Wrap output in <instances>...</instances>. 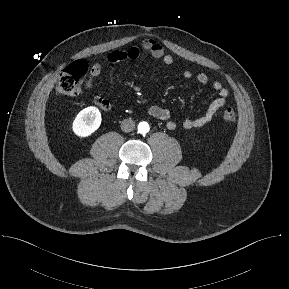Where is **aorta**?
Wrapping results in <instances>:
<instances>
[{
    "label": "aorta",
    "instance_id": "obj_1",
    "mask_svg": "<svg viewBox=\"0 0 289 289\" xmlns=\"http://www.w3.org/2000/svg\"><path fill=\"white\" fill-rule=\"evenodd\" d=\"M149 131V124L147 122H140L138 125V132L146 134Z\"/></svg>",
    "mask_w": 289,
    "mask_h": 289
}]
</instances>
